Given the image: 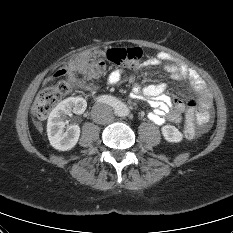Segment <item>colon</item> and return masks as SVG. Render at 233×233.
Returning a JSON list of instances; mask_svg holds the SVG:
<instances>
[{
	"label": "colon",
	"mask_w": 233,
	"mask_h": 233,
	"mask_svg": "<svg viewBox=\"0 0 233 233\" xmlns=\"http://www.w3.org/2000/svg\"><path fill=\"white\" fill-rule=\"evenodd\" d=\"M142 57V50L139 47L112 48L106 53V59L119 66L136 65ZM106 65L103 59L93 60L88 68L87 76L90 80L99 79L105 72ZM67 75L65 69L57 71L54 78L58 81L48 87L43 88L37 94L33 110L37 117L44 118L64 96L72 92V85L64 77ZM197 101L189 99L186 103V126L184 136L188 139L197 135V129L194 126V114Z\"/></svg>",
	"instance_id": "5ec220e1"
}]
</instances>
